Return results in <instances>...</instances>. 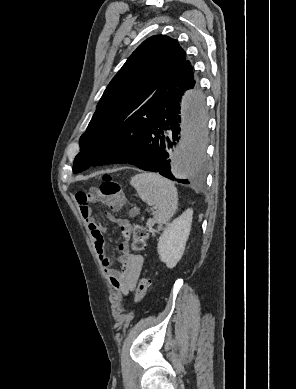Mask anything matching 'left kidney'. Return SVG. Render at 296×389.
<instances>
[{
	"mask_svg": "<svg viewBox=\"0 0 296 389\" xmlns=\"http://www.w3.org/2000/svg\"><path fill=\"white\" fill-rule=\"evenodd\" d=\"M193 210L187 209L176 218L160 236L157 251L168 268H174L182 258L189 238Z\"/></svg>",
	"mask_w": 296,
	"mask_h": 389,
	"instance_id": "1",
	"label": "left kidney"
}]
</instances>
